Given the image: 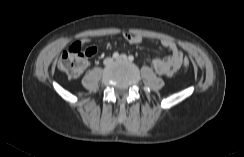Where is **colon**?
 Segmentation results:
<instances>
[{
    "label": "colon",
    "instance_id": "obj_1",
    "mask_svg": "<svg viewBox=\"0 0 244 157\" xmlns=\"http://www.w3.org/2000/svg\"><path fill=\"white\" fill-rule=\"evenodd\" d=\"M93 48L84 49L79 42L74 43L68 50L64 51L58 60V67L69 78H77L87 66V61L94 54ZM183 66L190 65L188 57H184Z\"/></svg>",
    "mask_w": 244,
    "mask_h": 157
}]
</instances>
